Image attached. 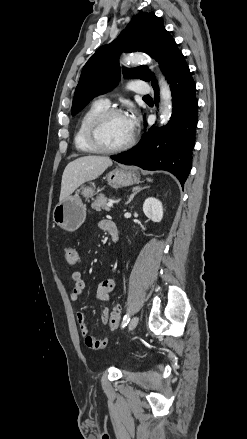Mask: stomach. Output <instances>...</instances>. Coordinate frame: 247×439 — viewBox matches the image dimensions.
<instances>
[{"label": "stomach", "instance_id": "0dacf381", "mask_svg": "<svg viewBox=\"0 0 247 439\" xmlns=\"http://www.w3.org/2000/svg\"><path fill=\"white\" fill-rule=\"evenodd\" d=\"M106 181L111 186H129L139 182V174L132 168H116L105 176ZM82 195L91 198L94 190L91 187H82ZM53 221L62 229L73 232L76 231L85 221L86 207L81 198L76 194L68 196L59 202L53 210Z\"/></svg>", "mask_w": 247, "mask_h": 439}]
</instances>
